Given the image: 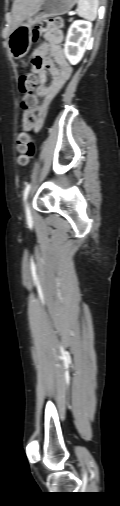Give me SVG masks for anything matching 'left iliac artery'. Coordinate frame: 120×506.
I'll list each match as a JSON object with an SVG mask.
<instances>
[{
	"mask_svg": "<svg viewBox=\"0 0 120 506\" xmlns=\"http://www.w3.org/2000/svg\"><path fill=\"white\" fill-rule=\"evenodd\" d=\"M30 187H31V185H30V184H27V185H26V187H25V189H24V192H23V200H24V201L26 200V198H27V196H28V193H29V191H30Z\"/></svg>",
	"mask_w": 120,
	"mask_h": 506,
	"instance_id": "1",
	"label": "left iliac artery"
}]
</instances>
